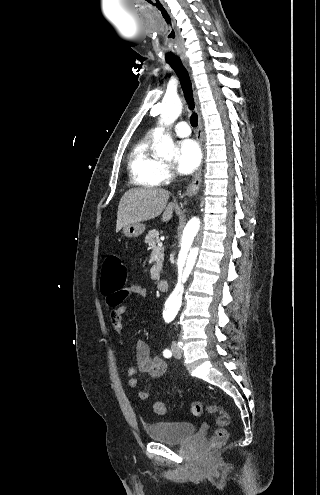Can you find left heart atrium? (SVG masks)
<instances>
[{
    "mask_svg": "<svg viewBox=\"0 0 320 495\" xmlns=\"http://www.w3.org/2000/svg\"><path fill=\"white\" fill-rule=\"evenodd\" d=\"M201 162V151L198 144L191 139L183 140L178 146L176 168L181 174H191Z\"/></svg>",
    "mask_w": 320,
    "mask_h": 495,
    "instance_id": "1",
    "label": "left heart atrium"
}]
</instances>
